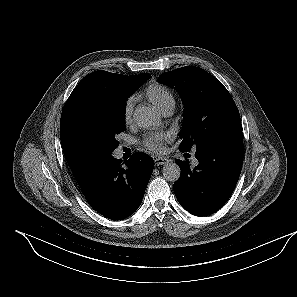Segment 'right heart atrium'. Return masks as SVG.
I'll list each match as a JSON object with an SVG mask.
<instances>
[{
    "label": "right heart atrium",
    "instance_id": "right-heart-atrium-1",
    "mask_svg": "<svg viewBox=\"0 0 297 297\" xmlns=\"http://www.w3.org/2000/svg\"><path fill=\"white\" fill-rule=\"evenodd\" d=\"M134 103H135V98L130 97L126 100L123 106V121L127 125L130 124L132 121Z\"/></svg>",
    "mask_w": 297,
    "mask_h": 297
}]
</instances>
